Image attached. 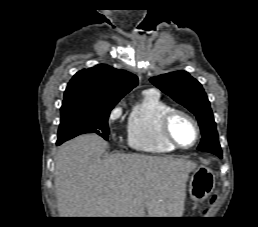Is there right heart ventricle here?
Masks as SVG:
<instances>
[{"label":"right heart ventricle","instance_id":"e07e8e85","mask_svg":"<svg viewBox=\"0 0 258 227\" xmlns=\"http://www.w3.org/2000/svg\"><path fill=\"white\" fill-rule=\"evenodd\" d=\"M154 92H146L132 107L128 117V144L140 152L166 154L176 150L161 135L160 119L170 110Z\"/></svg>","mask_w":258,"mask_h":227}]
</instances>
